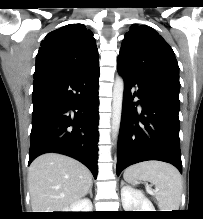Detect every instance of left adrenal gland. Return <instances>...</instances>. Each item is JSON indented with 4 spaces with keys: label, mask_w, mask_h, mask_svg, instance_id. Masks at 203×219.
<instances>
[{
    "label": "left adrenal gland",
    "mask_w": 203,
    "mask_h": 219,
    "mask_svg": "<svg viewBox=\"0 0 203 219\" xmlns=\"http://www.w3.org/2000/svg\"><path fill=\"white\" fill-rule=\"evenodd\" d=\"M123 185H124V181L122 180V181H121V186H123Z\"/></svg>",
    "instance_id": "left-adrenal-gland-1"
}]
</instances>
